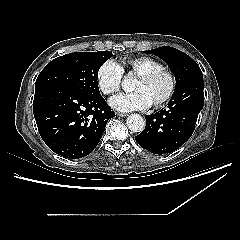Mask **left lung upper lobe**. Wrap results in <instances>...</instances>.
I'll use <instances>...</instances> for the list:
<instances>
[{"label":"left lung upper lobe","instance_id":"1","mask_svg":"<svg viewBox=\"0 0 240 240\" xmlns=\"http://www.w3.org/2000/svg\"><path fill=\"white\" fill-rule=\"evenodd\" d=\"M162 58L176 78V88L187 82L203 78L198 64L184 52L173 47H160L147 51Z\"/></svg>","mask_w":240,"mask_h":240}]
</instances>
